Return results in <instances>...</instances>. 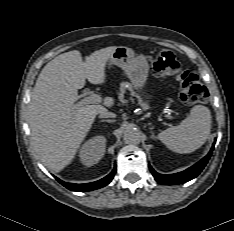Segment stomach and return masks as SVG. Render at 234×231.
Instances as JSON below:
<instances>
[{
	"mask_svg": "<svg viewBox=\"0 0 234 231\" xmlns=\"http://www.w3.org/2000/svg\"><path fill=\"white\" fill-rule=\"evenodd\" d=\"M109 65H116L125 72L137 92L141 105L147 108L152 97L144 90L149 73L146 57L136 55L131 48L119 46L111 55Z\"/></svg>",
	"mask_w": 234,
	"mask_h": 231,
	"instance_id": "stomach-1",
	"label": "stomach"
}]
</instances>
